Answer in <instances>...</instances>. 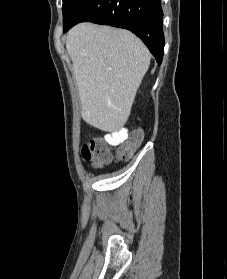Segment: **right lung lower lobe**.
<instances>
[{
    "mask_svg": "<svg viewBox=\"0 0 227 279\" xmlns=\"http://www.w3.org/2000/svg\"><path fill=\"white\" fill-rule=\"evenodd\" d=\"M84 21L132 31L157 62H162L165 41L161 0H84L70 28Z\"/></svg>",
    "mask_w": 227,
    "mask_h": 279,
    "instance_id": "98d812e1",
    "label": "right lung lower lobe"
}]
</instances>
